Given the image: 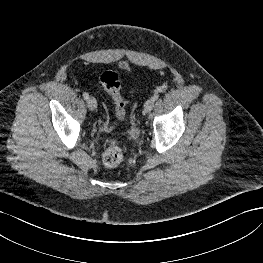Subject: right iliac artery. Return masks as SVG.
<instances>
[{"mask_svg": "<svg viewBox=\"0 0 263 263\" xmlns=\"http://www.w3.org/2000/svg\"><path fill=\"white\" fill-rule=\"evenodd\" d=\"M83 97H84V99H86V100H87V99L89 98V95H88V93L84 92V93H83Z\"/></svg>", "mask_w": 263, "mask_h": 263, "instance_id": "82829eb1", "label": "right iliac artery"}]
</instances>
